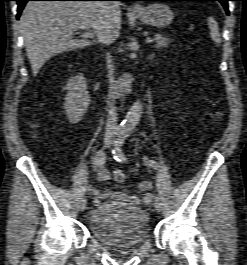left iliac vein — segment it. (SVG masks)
I'll list each match as a JSON object with an SVG mask.
<instances>
[{
    "label": "left iliac vein",
    "instance_id": "1",
    "mask_svg": "<svg viewBox=\"0 0 247 265\" xmlns=\"http://www.w3.org/2000/svg\"><path fill=\"white\" fill-rule=\"evenodd\" d=\"M154 207L158 212L161 211V201L159 197L155 198Z\"/></svg>",
    "mask_w": 247,
    "mask_h": 265
}]
</instances>
